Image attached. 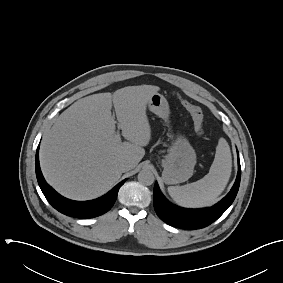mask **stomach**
<instances>
[{"instance_id":"0dacf381","label":"stomach","mask_w":283,"mask_h":283,"mask_svg":"<svg viewBox=\"0 0 283 283\" xmlns=\"http://www.w3.org/2000/svg\"><path fill=\"white\" fill-rule=\"evenodd\" d=\"M148 107L151 112L169 124V104L163 95L153 94L148 102ZM170 137L173 139V135L170 134ZM195 164V150L187 138L177 135L162 161V178L166 184L185 182L193 175Z\"/></svg>"}]
</instances>
